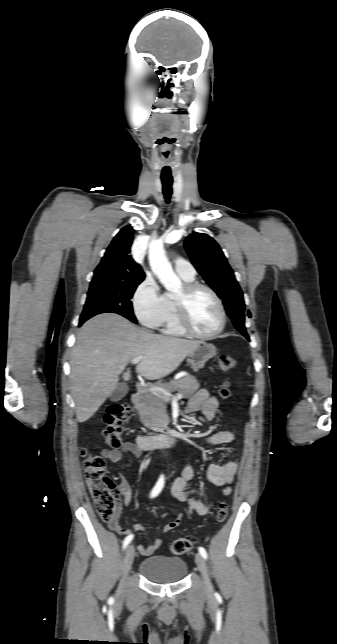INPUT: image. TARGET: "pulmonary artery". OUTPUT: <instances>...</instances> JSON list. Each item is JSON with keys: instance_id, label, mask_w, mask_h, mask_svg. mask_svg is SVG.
Wrapping results in <instances>:
<instances>
[{"instance_id": "e3ab8cb5", "label": "pulmonary artery", "mask_w": 337, "mask_h": 644, "mask_svg": "<svg viewBox=\"0 0 337 644\" xmlns=\"http://www.w3.org/2000/svg\"><path fill=\"white\" fill-rule=\"evenodd\" d=\"M175 270L179 275H183L186 277H194L196 274L195 268L193 265L184 259H178L175 261Z\"/></svg>"}]
</instances>
